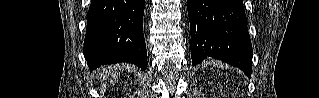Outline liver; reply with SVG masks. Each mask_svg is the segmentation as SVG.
I'll list each match as a JSON object with an SVG mask.
<instances>
[{
	"label": "liver",
	"mask_w": 319,
	"mask_h": 98,
	"mask_svg": "<svg viewBox=\"0 0 319 98\" xmlns=\"http://www.w3.org/2000/svg\"><path fill=\"white\" fill-rule=\"evenodd\" d=\"M115 70L116 69L114 68V70H113L112 67L103 68V79H106L111 74V72H112V74H111L112 78L116 79L117 76H116ZM107 74H108V76H107ZM111 82H112V80H111Z\"/></svg>",
	"instance_id": "6515ba94"
}]
</instances>
